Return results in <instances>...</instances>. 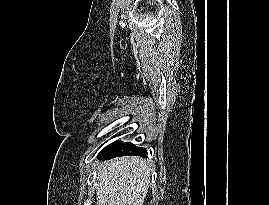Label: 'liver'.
<instances>
[{"label":"liver","mask_w":269,"mask_h":205,"mask_svg":"<svg viewBox=\"0 0 269 205\" xmlns=\"http://www.w3.org/2000/svg\"><path fill=\"white\" fill-rule=\"evenodd\" d=\"M150 166L139 157L112 159L99 168L97 205H143Z\"/></svg>","instance_id":"liver-1"}]
</instances>
